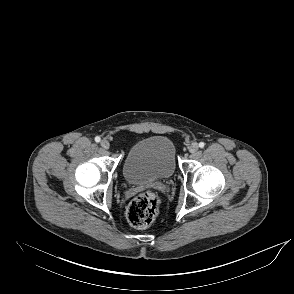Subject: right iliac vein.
<instances>
[{"mask_svg":"<svg viewBox=\"0 0 294 294\" xmlns=\"http://www.w3.org/2000/svg\"><path fill=\"white\" fill-rule=\"evenodd\" d=\"M100 144H101L102 148H104L106 150L109 149V147H110V143L108 140H102Z\"/></svg>","mask_w":294,"mask_h":294,"instance_id":"1","label":"right iliac vein"}]
</instances>
